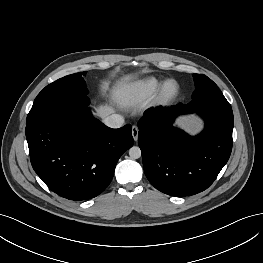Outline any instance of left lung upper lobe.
<instances>
[{
    "label": "left lung upper lobe",
    "instance_id": "obj_1",
    "mask_svg": "<svg viewBox=\"0 0 263 263\" xmlns=\"http://www.w3.org/2000/svg\"><path fill=\"white\" fill-rule=\"evenodd\" d=\"M196 89L192 101L186 105L189 110L207 107L231 108L217 85L203 74H193Z\"/></svg>",
    "mask_w": 263,
    "mask_h": 263
}]
</instances>
